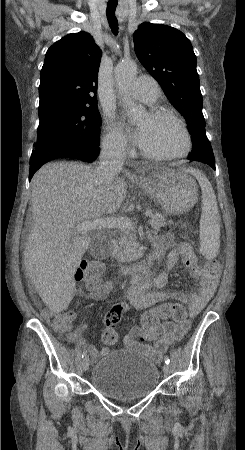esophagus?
I'll return each mask as SVG.
<instances>
[{"instance_id": "esophagus-1", "label": "esophagus", "mask_w": 245, "mask_h": 450, "mask_svg": "<svg viewBox=\"0 0 245 450\" xmlns=\"http://www.w3.org/2000/svg\"><path fill=\"white\" fill-rule=\"evenodd\" d=\"M131 177H132L133 179H138V176H137L136 174H132Z\"/></svg>"}]
</instances>
